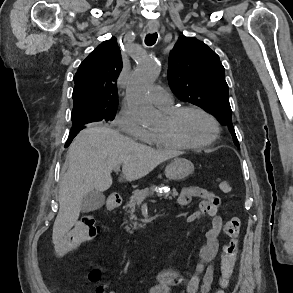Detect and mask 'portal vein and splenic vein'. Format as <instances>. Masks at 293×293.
Segmentation results:
<instances>
[{"mask_svg": "<svg viewBox=\"0 0 293 293\" xmlns=\"http://www.w3.org/2000/svg\"><path fill=\"white\" fill-rule=\"evenodd\" d=\"M114 171H115V172L120 171V167H119V166H118V167H115V168H114ZM147 196H149V194H147V195H141V196L138 197V200H139V201H143Z\"/></svg>", "mask_w": 293, "mask_h": 293, "instance_id": "portal-vein-and-splenic-vein-1", "label": "portal vein and splenic vein"}]
</instances>
